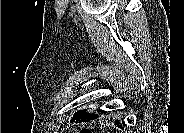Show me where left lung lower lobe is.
<instances>
[{
	"instance_id": "obj_1",
	"label": "left lung lower lobe",
	"mask_w": 184,
	"mask_h": 133,
	"mask_svg": "<svg viewBox=\"0 0 184 133\" xmlns=\"http://www.w3.org/2000/svg\"><path fill=\"white\" fill-rule=\"evenodd\" d=\"M99 117L98 113H87L85 109L79 110L78 112H75L74 116L71 119V122H89L91 120H94ZM116 124H119L118 121L115 122Z\"/></svg>"
}]
</instances>
